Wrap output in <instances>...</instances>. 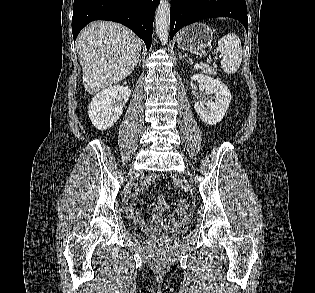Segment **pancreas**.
<instances>
[{"label": "pancreas", "instance_id": "pancreas-1", "mask_svg": "<svg viewBox=\"0 0 315 293\" xmlns=\"http://www.w3.org/2000/svg\"><path fill=\"white\" fill-rule=\"evenodd\" d=\"M201 70L206 73V74H209V75H216L217 74V71H216V67H211L209 65H203L201 67Z\"/></svg>", "mask_w": 315, "mask_h": 293}]
</instances>
